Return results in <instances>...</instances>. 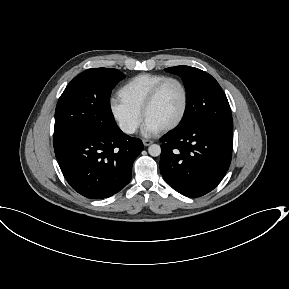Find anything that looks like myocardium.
<instances>
[{"label":"myocardium","instance_id":"1","mask_svg":"<svg viewBox=\"0 0 289 289\" xmlns=\"http://www.w3.org/2000/svg\"><path fill=\"white\" fill-rule=\"evenodd\" d=\"M169 82H175L176 84H178L180 86V88L183 92V106H182V110H181L179 116L177 117V119L174 122H172L171 124H169V125H167L161 129V131H163V132H168V131L176 129L178 126L181 125V123L183 122V120L186 117L188 107H189V92H188V89H187L186 85L184 84V82L182 80L176 78V77L164 78L163 80L158 82L151 89V91L149 92L148 96L146 97V99L143 103L142 109H141L142 118L145 120L148 110L154 104L161 89Z\"/></svg>","mask_w":289,"mask_h":289}]
</instances>
